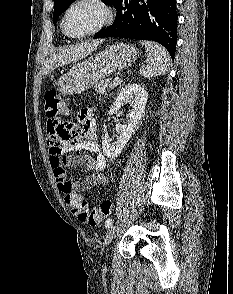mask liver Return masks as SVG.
<instances>
[{"mask_svg":"<svg viewBox=\"0 0 233 294\" xmlns=\"http://www.w3.org/2000/svg\"><path fill=\"white\" fill-rule=\"evenodd\" d=\"M102 40L85 42L78 45L69 46L57 53H54L45 62L41 69L43 75L48 74L57 67L76 62L95 51Z\"/></svg>","mask_w":233,"mask_h":294,"instance_id":"liver-1","label":"liver"}]
</instances>
